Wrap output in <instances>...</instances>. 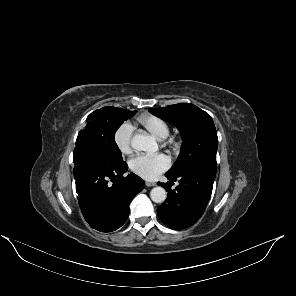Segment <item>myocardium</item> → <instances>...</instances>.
<instances>
[{
	"mask_svg": "<svg viewBox=\"0 0 296 296\" xmlns=\"http://www.w3.org/2000/svg\"><path fill=\"white\" fill-rule=\"evenodd\" d=\"M165 144L173 150H175L177 148V141L175 140L174 137L168 138L167 141L165 142Z\"/></svg>",
	"mask_w": 296,
	"mask_h": 296,
	"instance_id": "1",
	"label": "myocardium"
}]
</instances>
